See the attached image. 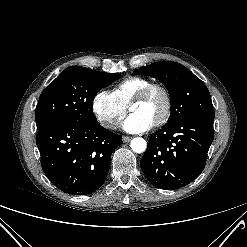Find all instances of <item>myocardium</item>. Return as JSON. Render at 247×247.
<instances>
[{"instance_id":"myocardium-1","label":"myocardium","mask_w":247,"mask_h":247,"mask_svg":"<svg viewBox=\"0 0 247 247\" xmlns=\"http://www.w3.org/2000/svg\"><path fill=\"white\" fill-rule=\"evenodd\" d=\"M155 91L160 92L165 101V107L162 115L152 124V126L154 127H159L164 125L169 120L172 113L173 101H172L171 93L167 87H165L160 83H150L147 86H145L143 89H141L131 99L128 105L130 110L133 104L145 101Z\"/></svg>"}]
</instances>
